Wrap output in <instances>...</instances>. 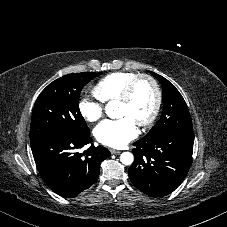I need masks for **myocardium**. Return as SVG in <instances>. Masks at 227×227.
Here are the masks:
<instances>
[{
	"label": "myocardium",
	"mask_w": 227,
	"mask_h": 227,
	"mask_svg": "<svg viewBox=\"0 0 227 227\" xmlns=\"http://www.w3.org/2000/svg\"><path fill=\"white\" fill-rule=\"evenodd\" d=\"M142 80H147L152 85V87L154 89V93H155V102H154V106H153L151 113L145 120H143L141 123H139L140 127H146L154 122V120L156 119V117L160 111L161 103H162L161 89H160L158 82L156 81V79L154 77H152L151 75H148V74L137 75L125 87L121 96L117 99V102L123 103V104L128 103L132 99L134 91H135L138 83Z\"/></svg>",
	"instance_id": "f54148a6"
}]
</instances>
